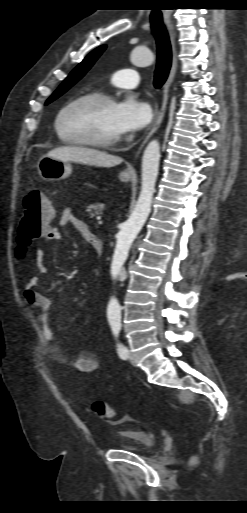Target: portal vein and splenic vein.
<instances>
[{
	"label": "portal vein and splenic vein",
	"mask_w": 247,
	"mask_h": 513,
	"mask_svg": "<svg viewBox=\"0 0 247 513\" xmlns=\"http://www.w3.org/2000/svg\"><path fill=\"white\" fill-rule=\"evenodd\" d=\"M97 220H98V224H102L101 217H97Z\"/></svg>",
	"instance_id": "1"
}]
</instances>
